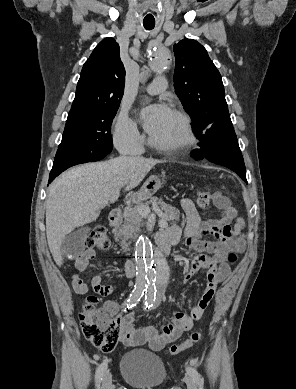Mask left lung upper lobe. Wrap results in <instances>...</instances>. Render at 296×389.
<instances>
[{"label":"left lung upper lobe","instance_id":"5c2ea615","mask_svg":"<svg viewBox=\"0 0 296 389\" xmlns=\"http://www.w3.org/2000/svg\"><path fill=\"white\" fill-rule=\"evenodd\" d=\"M174 87L184 109L191 116L197 139L217 119L228 115L221 75L206 49L193 39L173 46Z\"/></svg>","mask_w":296,"mask_h":389}]
</instances>
